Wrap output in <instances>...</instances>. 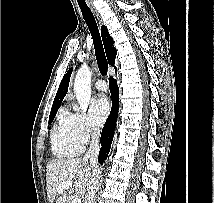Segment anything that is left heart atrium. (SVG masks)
I'll return each instance as SVG.
<instances>
[{"mask_svg": "<svg viewBox=\"0 0 214 203\" xmlns=\"http://www.w3.org/2000/svg\"><path fill=\"white\" fill-rule=\"evenodd\" d=\"M109 114V103L105 96L98 97L90 106V116L95 125H102Z\"/></svg>", "mask_w": 214, "mask_h": 203, "instance_id": "left-heart-atrium-1", "label": "left heart atrium"}]
</instances>
